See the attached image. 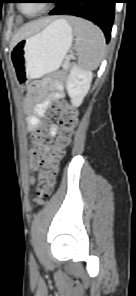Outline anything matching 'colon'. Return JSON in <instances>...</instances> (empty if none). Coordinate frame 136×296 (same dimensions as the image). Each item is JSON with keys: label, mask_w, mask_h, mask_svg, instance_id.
I'll list each match as a JSON object with an SVG mask.
<instances>
[{"label": "colon", "mask_w": 136, "mask_h": 296, "mask_svg": "<svg viewBox=\"0 0 136 296\" xmlns=\"http://www.w3.org/2000/svg\"><path fill=\"white\" fill-rule=\"evenodd\" d=\"M45 121L47 123L56 121L59 125V132L53 151L47 159H44L40 148L49 142L46 133L41 131L34 136V141L39 147L30 153V168L38 171V182L35 191V200L38 204L50 197L53 191L59 162L64 156L65 149L69 145L77 127V112L66 102H56L45 114Z\"/></svg>", "instance_id": "colon-1"}]
</instances>
